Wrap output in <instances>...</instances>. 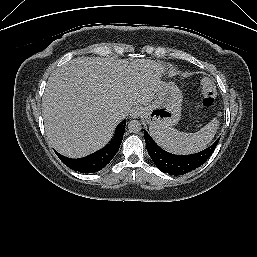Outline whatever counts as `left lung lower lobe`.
<instances>
[{"label": "left lung lower lobe", "mask_w": 257, "mask_h": 257, "mask_svg": "<svg viewBox=\"0 0 257 257\" xmlns=\"http://www.w3.org/2000/svg\"><path fill=\"white\" fill-rule=\"evenodd\" d=\"M147 151L159 170L170 175L186 174L206 162L214 152L219 139L209 148L190 155H175L160 148L144 130Z\"/></svg>", "instance_id": "obj_1"}]
</instances>
